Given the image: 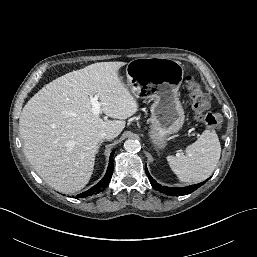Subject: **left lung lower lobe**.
Here are the masks:
<instances>
[{
  "label": "left lung lower lobe",
  "instance_id": "left-lung-lower-lobe-1",
  "mask_svg": "<svg viewBox=\"0 0 257 257\" xmlns=\"http://www.w3.org/2000/svg\"><path fill=\"white\" fill-rule=\"evenodd\" d=\"M145 171H146L148 179L154 189H156L162 193H165L167 195H172V196H182V195L192 193L193 191L198 189L200 186H202L207 181L206 180L199 184L191 185V186L184 187V188H171V187L161 186L160 184L156 183V181L150 176L146 166H145Z\"/></svg>",
  "mask_w": 257,
  "mask_h": 257
}]
</instances>
